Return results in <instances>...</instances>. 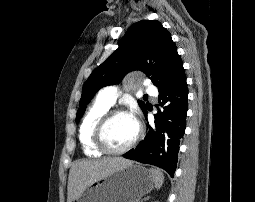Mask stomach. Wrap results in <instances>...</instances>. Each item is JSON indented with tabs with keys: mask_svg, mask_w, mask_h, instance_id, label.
Listing matches in <instances>:
<instances>
[{
	"mask_svg": "<svg viewBox=\"0 0 255 202\" xmlns=\"http://www.w3.org/2000/svg\"><path fill=\"white\" fill-rule=\"evenodd\" d=\"M154 184L151 171L130 164L93 182L72 202H139Z\"/></svg>",
	"mask_w": 255,
	"mask_h": 202,
	"instance_id": "obj_1",
	"label": "stomach"
}]
</instances>
